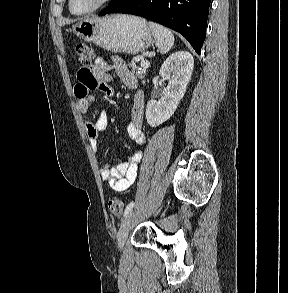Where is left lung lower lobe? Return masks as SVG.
I'll return each instance as SVG.
<instances>
[{"mask_svg":"<svg viewBox=\"0 0 288 293\" xmlns=\"http://www.w3.org/2000/svg\"><path fill=\"white\" fill-rule=\"evenodd\" d=\"M211 0H114L99 15L141 16L182 34L200 54Z\"/></svg>","mask_w":288,"mask_h":293,"instance_id":"0a47b994","label":"left lung lower lobe"}]
</instances>
